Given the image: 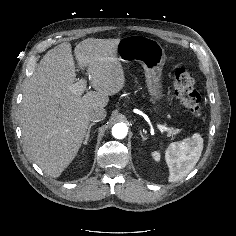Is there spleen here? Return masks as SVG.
Segmentation results:
<instances>
[{
	"label": "spleen",
	"instance_id": "3e777b00",
	"mask_svg": "<svg viewBox=\"0 0 236 236\" xmlns=\"http://www.w3.org/2000/svg\"><path fill=\"white\" fill-rule=\"evenodd\" d=\"M203 150V138L195 133L191 138L173 142L165 152L169 166V182H176L187 176L198 162ZM156 161L160 160L158 151L152 152Z\"/></svg>",
	"mask_w": 236,
	"mask_h": 236
}]
</instances>
